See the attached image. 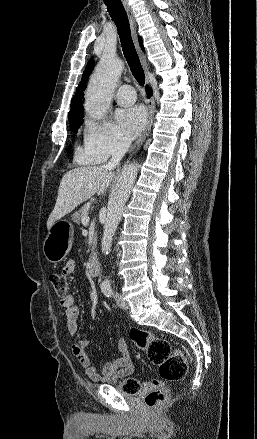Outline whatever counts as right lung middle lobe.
Here are the masks:
<instances>
[{
	"label": "right lung middle lobe",
	"mask_w": 257,
	"mask_h": 439,
	"mask_svg": "<svg viewBox=\"0 0 257 439\" xmlns=\"http://www.w3.org/2000/svg\"><path fill=\"white\" fill-rule=\"evenodd\" d=\"M83 117H84V114H80V113H69L68 114L70 128L72 129V131L74 133H77L78 128L83 123Z\"/></svg>",
	"instance_id": "dd1d6c3e"
}]
</instances>
